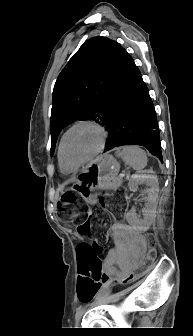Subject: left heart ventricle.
I'll return each instance as SVG.
<instances>
[{"label":"left heart ventricle","instance_id":"left-heart-ventricle-1","mask_svg":"<svg viewBox=\"0 0 193 336\" xmlns=\"http://www.w3.org/2000/svg\"><path fill=\"white\" fill-rule=\"evenodd\" d=\"M101 143L100 133L91 126L72 130L65 141V154L72 161H81L94 153Z\"/></svg>","mask_w":193,"mask_h":336}]
</instances>
